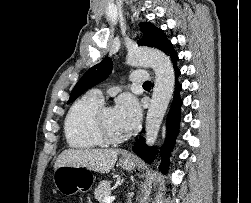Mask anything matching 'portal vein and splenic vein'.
<instances>
[{
	"label": "portal vein and splenic vein",
	"instance_id": "1",
	"mask_svg": "<svg viewBox=\"0 0 251 203\" xmlns=\"http://www.w3.org/2000/svg\"><path fill=\"white\" fill-rule=\"evenodd\" d=\"M115 200V196H105L103 203H112Z\"/></svg>",
	"mask_w": 251,
	"mask_h": 203
}]
</instances>
